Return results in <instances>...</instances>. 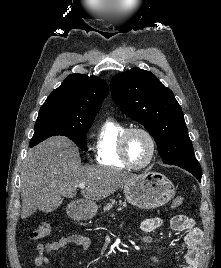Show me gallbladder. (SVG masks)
<instances>
[{"mask_svg":"<svg viewBox=\"0 0 221 268\" xmlns=\"http://www.w3.org/2000/svg\"><path fill=\"white\" fill-rule=\"evenodd\" d=\"M38 203L41 205H36V210H45L44 212H53L60 204H63V199H39Z\"/></svg>","mask_w":221,"mask_h":268,"instance_id":"bac80fb5","label":"gallbladder"}]
</instances>
